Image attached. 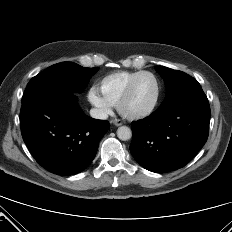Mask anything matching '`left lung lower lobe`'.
<instances>
[{
    "label": "left lung lower lobe",
    "instance_id": "left-lung-lower-lobe-1",
    "mask_svg": "<svg viewBox=\"0 0 232 232\" xmlns=\"http://www.w3.org/2000/svg\"><path fill=\"white\" fill-rule=\"evenodd\" d=\"M209 122L210 107L202 88L185 92L149 117L132 122L131 154L152 172L182 168L205 144Z\"/></svg>",
    "mask_w": 232,
    "mask_h": 232
}]
</instances>
